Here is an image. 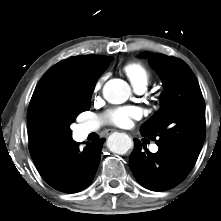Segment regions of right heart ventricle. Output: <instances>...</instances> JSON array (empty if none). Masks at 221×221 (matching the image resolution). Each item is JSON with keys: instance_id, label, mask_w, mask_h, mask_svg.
<instances>
[{"instance_id": "1", "label": "right heart ventricle", "mask_w": 221, "mask_h": 221, "mask_svg": "<svg viewBox=\"0 0 221 221\" xmlns=\"http://www.w3.org/2000/svg\"><path fill=\"white\" fill-rule=\"evenodd\" d=\"M123 71L134 87L147 86L150 81V72L141 62H130L123 67Z\"/></svg>"}]
</instances>
